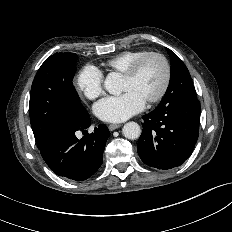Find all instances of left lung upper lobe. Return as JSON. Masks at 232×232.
Wrapping results in <instances>:
<instances>
[{
	"label": "left lung upper lobe",
	"instance_id": "left-lung-upper-lobe-1",
	"mask_svg": "<svg viewBox=\"0 0 232 232\" xmlns=\"http://www.w3.org/2000/svg\"><path fill=\"white\" fill-rule=\"evenodd\" d=\"M167 52L171 59V77L168 89L158 106L168 104L182 97L197 99L187 67L174 52L170 49H167Z\"/></svg>",
	"mask_w": 232,
	"mask_h": 232
}]
</instances>
